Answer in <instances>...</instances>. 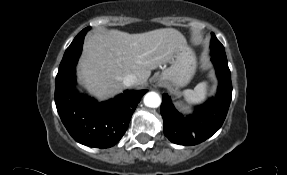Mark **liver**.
Wrapping results in <instances>:
<instances>
[{
    "label": "liver",
    "mask_w": 287,
    "mask_h": 175,
    "mask_svg": "<svg viewBox=\"0 0 287 175\" xmlns=\"http://www.w3.org/2000/svg\"><path fill=\"white\" fill-rule=\"evenodd\" d=\"M186 44L174 28L140 34L107 30L90 35L83 47L78 78L87 90L100 99L120 93L123 78L134 74L137 85H145L151 71L170 63L178 47Z\"/></svg>",
    "instance_id": "liver-1"
}]
</instances>
